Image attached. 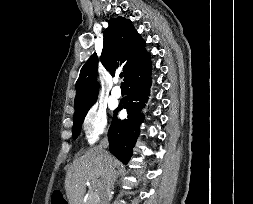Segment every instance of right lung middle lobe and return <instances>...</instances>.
Here are the masks:
<instances>
[{
    "instance_id": "dd1d6c3e",
    "label": "right lung middle lobe",
    "mask_w": 253,
    "mask_h": 204,
    "mask_svg": "<svg viewBox=\"0 0 253 204\" xmlns=\"http://www.w3.org/2000/svg\"><path fill=\"white\" fill-rule=\"evenodd\" d=\"M93 104L87 106L86 108H84V109L80 110L79 112H77L76 114H74V124H73V137H74V139H76L78 137V135L80 134L83 120H84L88 110L90 109V107Z\"/></svg>"
}]
</instances>
